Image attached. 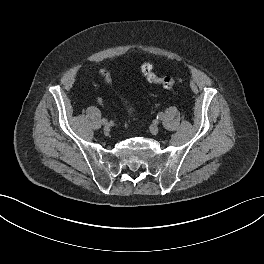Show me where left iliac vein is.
Wrapping results in <instances>:
<instances>
[{
  "mask_svg": "<svg viewBox=\"0 0 264 264\" xmlns=\"http://www.w3.org/2000/svg\"><path fill=\"white\" fill-rule=\"evenodd\" d=\"M150 132L153 135H156L159 132V127L156 124L150 126Z\"/></svg>",
  "mask_w": 264,
  "mask_h": 264,
  "instance_id": "obj_1",
  "label": "left iliac vein"
}]
</instances>
